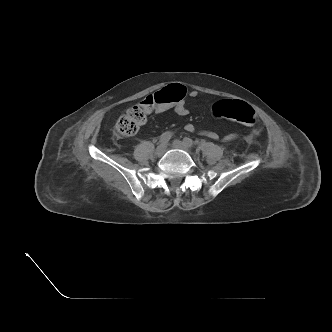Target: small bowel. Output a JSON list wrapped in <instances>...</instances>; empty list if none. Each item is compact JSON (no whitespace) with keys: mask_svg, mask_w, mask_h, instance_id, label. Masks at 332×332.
<instances>
[{"mask_svg":"<svg viewBox=\"0 0 332 332\" xmlns=\"http://www.w3.org/2000/svg\"><path fill=\"white\" fill-rule=\"evenodd\" d=\"M189 96L191 98H196L198 96V91L197 90H191L189 92ZM148 113H150L152 111V108H148L147 109ZM168 111H173L175 114L179 115V116H186L189 114V110L186 107L185 101L181 100L177 103L174 104H170V105H163V106H158L155 109L156 113H166ZM186 131L190 132V133H194L196 132V128L193 124L189 123L185 126ZM200 135L208 137L210 139L213 140H219V135L213 131H209V130H200L197 131ZM238 138V134L237 133H230L226 136H224L222 138V141L224 142H230V141H234Z\"/></svg>","mask_w":332,"mask_h":332,"instance_id":"obj_1","label":"small bowel"}]
</instances>
